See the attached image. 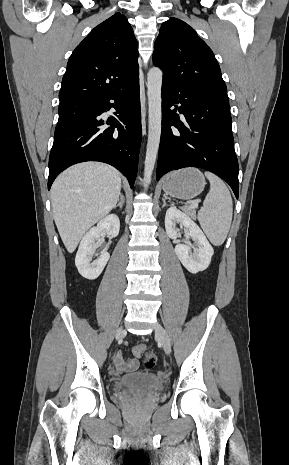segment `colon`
Returning a JSON list of instances; mask_svg holds the SVG:
<instances>
[{
  "instance_id": "colon-1",
  "label": "colon",
  "mask_w": 289,
  "mask_h": 465,
  "mask_svg": "<svg viewBox=\"0 0 289 465\" xmlns=\"http://www.w3.org/2000/svg\"><path fill=\"white\" fill-rule=\"evenodd\" d=\"M133 352L137 355H144V365L146 368H152L155 364L156 358L153 352H151L146 345L139 344L133 347Z\"/></svg>"
}]
</instances>
